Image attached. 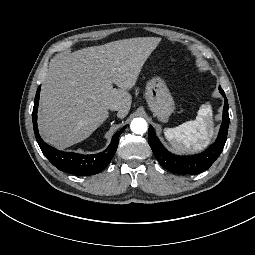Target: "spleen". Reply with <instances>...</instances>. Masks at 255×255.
<instances>
[{"label": "spleen", "mask_w": 255, "mask_h": 255, "mask_svg": "<svg viewBox=\"0 0 255 255\" xmlns=\"http://www.w3.org/2000/svg\"><path fill=\"white\" fill-rule=\"evenodd\" d=\"M211 116L210 106L202 105L196 121L191 120L174 128H165V136L178 150H200L209 140Z\"/></svg>", "instance_id": "spleen-1"}]
</instances>
